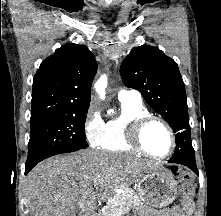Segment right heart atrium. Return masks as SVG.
Here are the masks:
<instances>
[{"label":"right heart atrium","instance_id":"d8ad5b80","mask_svg":"<svg viewBox=\"0 0 221 216\" xmlns=\"http://www.w3.org/2000/svg\"><path fill=\"white\" fill-rule=\"evenodd\" d=\"M105 122L98 108L91 105L86 113L83 130L87 142L92 147L100 146L104 134Z\"/></svg>","mask_w":221,"mask_h":216}]
</instances>
